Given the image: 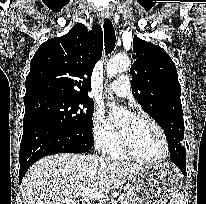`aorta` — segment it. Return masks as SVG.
I'll return each instance as SVG.
<instances>
[{
	"label": "aorta",
	"instance_id": "aorta-1",
	"mask_svg": "<svg viewBox=\"0 0 206 204\" xmlns=\"http://www.w3.org/2000/svg\"><path fill=\"white\" fill-rule=\"evenodd\" d=\"M129 64H130V59L127 55L124 54L115 55L107 63V67H106L107 77L112 78L118 73L125 71L129 67ZM110 106L112 109V118L114 120L120 119L122 116H124L127 113L125 108L117 107L115 106L114 103H111Z\"/></svg>",
	"mask_w": 206,
	"mask_h": 204
}]
</instances>
